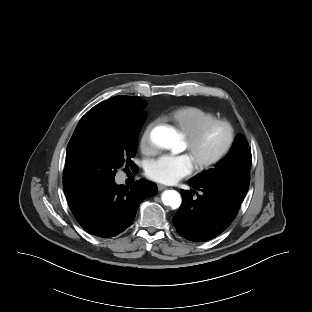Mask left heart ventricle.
<instances>
[{
  "mask_svg": "<svg viewBox=\"0 0 312 312\" xmlns=\"http://www.w3.org/2000/svg\"><path fill=\"white\" fill-rule=\"evenodd\" d=\"M226 140L227 131L223 126L213 128L192 152H188L193 164L214 156L222 149ZM183 150H187L185 141Z\"/></svg>",
  "mask_w": 312,
  "mask_h": 312,
  "instance_id": "1",
  "label": "left heart ventricle"
}]
</instances>
